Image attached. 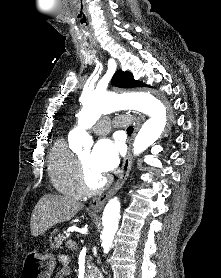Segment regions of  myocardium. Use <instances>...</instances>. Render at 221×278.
Listing matches in <instances>:
<instances>
[{
	"mask_svg": "<svg viewBox=\"0 0 221 278\" xmlns=\"http://www.w3.org/2000/svg\"><path fill=\"white\" fill-rule=\"evenodd\" d=\"M77 173L81 188L87 194H99L107 189L110 184V178L104 177V179L99 184L95 186L92 185L89 181L87 169L80 157H77Z\"/></svg>",
	"mask_w": 221,
	"mask_h": 278,
	"instance_id": "myocardium-1",
	"label": "myocardium"
}]
</instances>
